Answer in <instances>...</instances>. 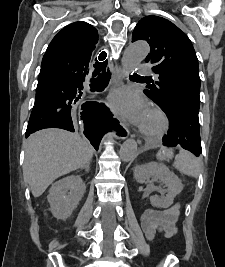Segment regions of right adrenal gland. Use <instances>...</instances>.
I'll return each mask as SVG.
<instances>
[{
    "mask_svg": "<svg viewBox=\"0 0 225 267\" xmlns=\"http://www.w3.org/2000/svg\"><path fill=\"white\" fill-rule=\"evenodd\" d=\"M83 169H85V171H86L87 173H89V170H90V163H87V164L83 167Z\"/></svg>",
    "mask_w": 225,
    "mask_h": 267,
    "instance_id": "right-adrenal-gland-1",
    "label": "right adrenal gland"
}]
</instances>
